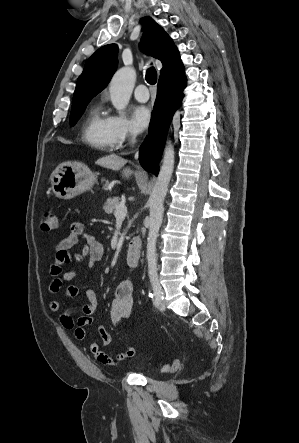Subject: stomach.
<instances>
[{"instance_id":"1","label":"stomach","mask_w":299,"mask_h":443,"mask_svg":"<svg viewBox=\"0 0 299 443\" xmlns=\"http://www.w3.org/2000/svg\"><path fill=\"white\" fill-rule=\"evenodd\" d=\"M96 181V175L86 165L77 162L59 165L51 176L54 194L64 200L91 189Z\"/></svg>"}]
</instances>
